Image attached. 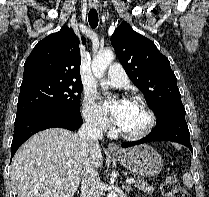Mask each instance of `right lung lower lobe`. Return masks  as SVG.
I'll use <instances>...</instances> for the list:
<instances>
[{"instance_id": "1", "label": "right lung lower lobe", "mask_w": 209, "mask_h": 197, "mask_svg": "<svg viewBox=\"0 0 209 197\" xmlns=\"http://www.w3.org/2000/svg\"><path fill=\"white\" fill-rule=\"evenodd\" d=\"M83 123L80 111L47 109L32 112L15 119V131L11 144V157L29 137L38 131L60 127L77 130Z\"/></svg>"}]
</instances>
